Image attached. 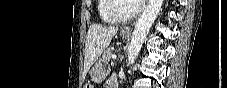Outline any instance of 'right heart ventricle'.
I'll return each mask as SVG.
<instances>
[{
  "mask_svg": "<svg viewBox=\"0 0 227 88\" xmlns=\"http://www.w3.org/2000/svg\"><path fill=\"white\" fill-rule=\"evenodd\" d=\"M97 3L101 20L106 23H115L116 21L107 12L108 0H98Z\"/></svg>",
  "mask_w": 227,
  "mask_h": 88,
  "instance_id": "1",
  "label": "right heart ventricle"
}]
</instances>
